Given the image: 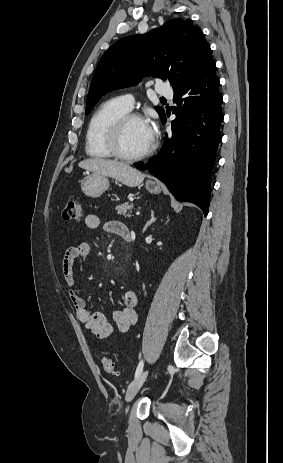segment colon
I'll use <instances>...</instances> for the list:
<instances>
[{"instance_id":"5ec220e1","label":"colon","mask_w":283,"mask_h":463,"mask_svg":"<svg viewBox=\"0 0 283 463\" xmlns=\"http://www.w3.org/2000/svg\"><path fill=\"white\" fill-rule=\"evenodd\" d=\"M64 220H80L83 216V209L81 203L77 200H70L63 207L61 212ZM103 368L107 373L115 372L114 361L109 357H104L102 360Z\"/></svg>"}]
</instances>
